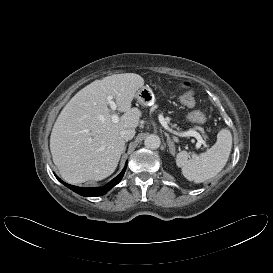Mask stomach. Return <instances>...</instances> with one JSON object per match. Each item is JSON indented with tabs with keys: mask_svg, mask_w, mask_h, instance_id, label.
Here are the masks:
<instances>
[{
	"mask_svg": "<svg viewBox=\"0 0 273 273\" xmlns=\"http://www.w3.org/2000/svg\"><path fill=\"white\" fill-rule=\"evenodd\" d=\"M135 97L143 107L152 106L156 100L153 91L148 87H142L138 90Z\"/></svg>",
	"mask_w": 273,
	"mask_h": 273,
	"instance_id": "0dacf381",
	"label": "stomach"
}]
</instances>
